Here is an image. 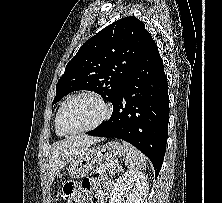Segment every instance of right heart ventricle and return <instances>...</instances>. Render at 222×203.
<instances>
[{"instance_id":"1","label":"right heart ventricle","mask_w":222,"mask_h":203,"mask_svg":"<svg viewBox=\"0 0 222 203\" xmlns=\"http://www.w3.org/2000/svg\"><path fill=\"white\" fill-rule=\"evenodd\" d=\"M59 109H60V108H59ZM59 109H58V111H57V113H56V116H55V132H56V134H57L58 136H64V135H66V133L63 132V131L59 128V126H58V124H57V116H58Z\"/></svg>"}]
</instances>
